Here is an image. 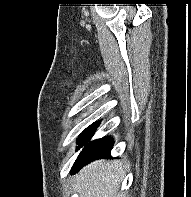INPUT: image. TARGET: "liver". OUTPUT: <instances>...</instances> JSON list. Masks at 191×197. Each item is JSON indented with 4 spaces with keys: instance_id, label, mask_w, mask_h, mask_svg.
Returning <instances> with one entry per match:
<instances>
[{
    "instance_id": "6515ba94",
    "label": "liver",
    "mask_w": 191,
    "mask_h": 197,
    "mask_svg": "<svg viewBox=\"0 0 191 197\" xmlns=\"http://www.w3.org/2000/svg\"><path fill=\"white\" fill-rule=\"evenodd\" d=\"M126 168L120 161H96L76 175L75 190L80 197H125L118 189Z\"/></svg>"
}]
</instances>
